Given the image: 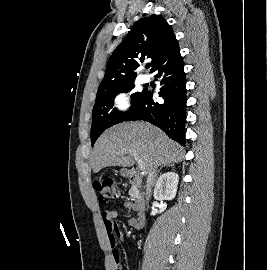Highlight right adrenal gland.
I'll return each instance as SVG.
<instances>
[{
    "mask_svg": "<svg viewBox=\"0 0 267 270\" xmlns=\"http://www.w3.org/2000/svg\"><path fill=\"white\" fill-rule=\"evenodd\" d=\"M164 167H171V168H173L174 167V164L173 163H170V164H166V165H164V166H162L159 170H158V172H157V174L160 172V170H162V168H164ZM157 176V175H156Z\"/></svg>",
    "mask_w": 267,
    "mask_h": 270,
    "instance_id": "obj_1",
    "label": "right adrenal gland"
}]
</instances>
